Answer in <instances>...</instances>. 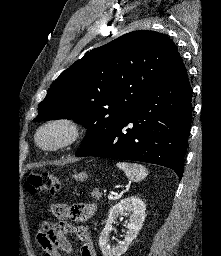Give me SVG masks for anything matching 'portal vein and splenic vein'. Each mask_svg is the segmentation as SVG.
I'll use <instances>...</instances> for the list:
<instances>
[{
    "mask_svg": "<svg viewBox=\"0 0 221 256\" xmlns=\"http://www.w3.org/2000/svg\"><path fill=\"white\" fill-rule=\"evenodd\" d=\"M108 199H109V200H113V199H114V196H113L112 194H109V195H108Z\"/></svg>",
    "mask_w": 221,
    "mask_h": 256,
    "instance_id": "obj_1",
    "label": "portal vein and splenic vein"
}]
</instances>
